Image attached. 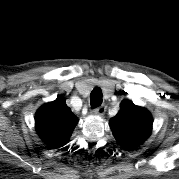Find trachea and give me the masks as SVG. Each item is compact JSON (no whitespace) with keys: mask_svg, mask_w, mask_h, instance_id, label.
I'll return each mask as SVG.
<instances>
[{"mask_svg":"<svg viewBox=\"0 0 179 179\" xmlns=\"http://www.w3.org/2000/svg\"><path fill=\"white\" fill-rule=\"evenodd\" d=\"M102 103V91L99 87H96L92 90L90 94V105L91 108H97L101 105Z\"/></svg>","mask_w":179,"mask_h":179,"instance_id":"3493384b","label":"trachea"}]
</instances>
